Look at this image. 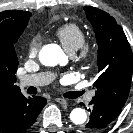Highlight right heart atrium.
<instances>
[{"instance_id": "obj_1", "label": "right heart atrium", "mask_w": 133, "mask_h": 133, "mask_svg": "<svg viewBox=\"0 0 133 133\" xmlns=\"http://www.w3.org/2000/svg\"><path fill=\"white\" fill-rule=\"evenodd\" d=\"M42 39L39 36H33L27 45V55L30 58H35L38 55Z\"/></svg>"}]
</instances>
